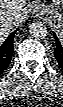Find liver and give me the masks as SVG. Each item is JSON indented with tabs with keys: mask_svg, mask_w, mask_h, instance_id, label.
<instances>
[{
	"mask_svg": "<svg viewBox=\"0 0 63 107\" xmlns=\"http://www.w3.org/2000/svg\"><path fill=\"white\" fill-rule=\"evenodd\" d=\"M29 12V4L26 0H0V42L9 35L10 30L24 22ZM16 17V23L10 25L7 19Z\"/></svg>",
	"mask_w": 63,
	"mask_h": 107,
	"instance_id": "1",
	"label": "liver"
}]
</instances>
